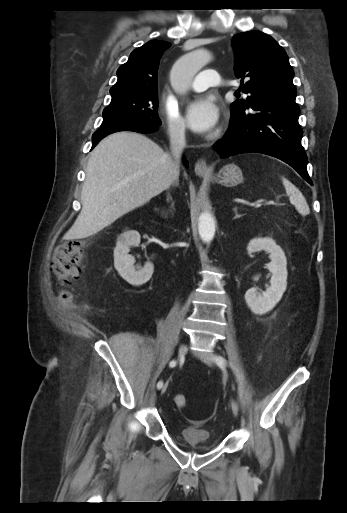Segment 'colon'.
I'll use <instances>...</instances> for the list:
<instances>
[{"instance_id": "obj_1", "label": "colon", "mask_w": 347, "mask_h": 513, "mask_svg": "<svg viewBox=\"0 0 347 513\" xmlns=\"http://www.w3.org/2000/svg\"><path fill=\"white\" fill-rule=\"evenodd\" d=\"M84 250L81 242L70 241L58 247L52 259V268L62 286H67L72 280L77 279L82 272ZM60 296L64 302L71 300V294L62 289ZM173 402L179 409L187 407V399L182 393L173 395Z\"/></svg>"}]
</instances>
